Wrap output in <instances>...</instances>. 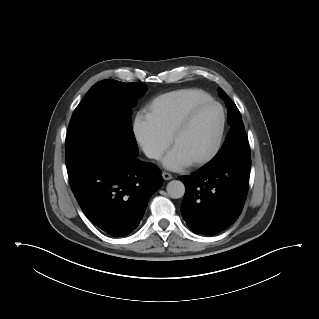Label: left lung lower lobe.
I'll list each match as a JSON object with an SVG mask.
<instances>
[{"mask_svg":"<svg viewBox=\"0 0 319 319\" xmlns=\"http://www.w3.org/2000/svg\"><path fill=\"white\" fill-rule=\"evenodd\" d=\"M250 168V155L236 154L179 177L186 187L181 213L194 233L211 236L236 221L247 195Z\"/></svg>","mask_w":319,"mask_h":319,"instance_id":"left-lung-lower-lobe-1","label":"left lung lower lobe"}]
</instances>
